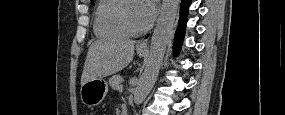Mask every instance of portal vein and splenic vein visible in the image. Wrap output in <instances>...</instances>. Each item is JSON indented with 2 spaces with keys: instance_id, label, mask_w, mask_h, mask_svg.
Returning <instances> with one entry per match:
<instances>
[{
  "instance_id": "1",
  "label": "portal vein and splenic vein",
  "mask_w": 285,
  "mask_h": 115,
  "mask_svg": "<svg viewBox=\"0 0 285 115\" xmlns=\"http://www.w3.org/2000/svg\"><path fill=\"white\" fill-rule=\"evenodd\" d=\"M118 90H119V91H122V90H123V85H120V87H119Z\"/></svg>"
}]
</instances>
